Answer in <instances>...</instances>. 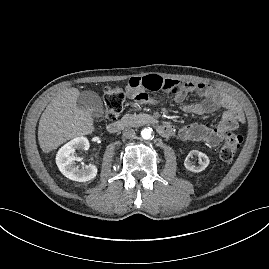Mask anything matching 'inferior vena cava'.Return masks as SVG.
<instances>
[{"label": "inferior vena cava", "mask_w": 269, "mask_h": 269, "mask_svg": "<svg viewBox=\"0 0 269 269\" xmlns=\"http://www.w3.org/2000/svg\"><path fill=\"white\" fill-rule=\"evenodd\" d=\"M122 134L124 138L130 139L135 136V130L132 129L131 127H127L123 130Z\"/></svg>", "instance_id": "1"}]
</instances>
